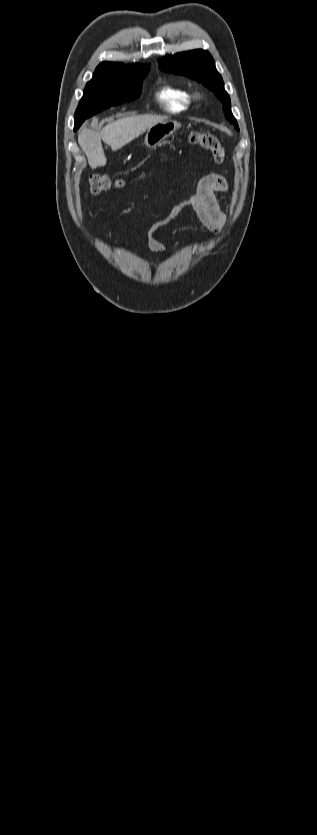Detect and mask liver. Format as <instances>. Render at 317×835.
Returning <instances> with one entry per match:
<instances>
[{
    "label": "liver",
    "mask_w": 317,
    "mask_h": 835,
    "mask_svg": "<svg viewBox=\"0 0 317 835\" xmlns=\"http://www.w3.org/2000/svg\"><path fill=\"white\" fill-rule=\"evenodd\" d=\"M164 120L163 117L150 115L123 117L109 122L100 132L84 128L78 135V143L87 156L89 166L94 169L107 163L101 140L112 151H117Z\"/></svg>",
    "instance_id": "liver-1"
}]
</instances>
